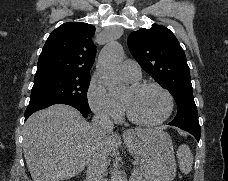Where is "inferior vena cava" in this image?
<instances>
[{
	"instance_id": "obj_1",
	"label": "inferior vena cava",
	"mask_w": 228,
	"mask_h": 181,
	"mask_svg": "<svg viewBox=\"0 0 228 181\" xmlns=\"http://www.w3.org/2000/svg\"><path fill=\"white\" fill-rule=\"evenodd\" d=\"M114 123L110 121L109 113L102 109H95L91 125V135L96 137L98 143L90 151V157L87 159L86 181H107V151L100 147L102 139H108L113 133Z\"/></svg>"
}]
</instances>
